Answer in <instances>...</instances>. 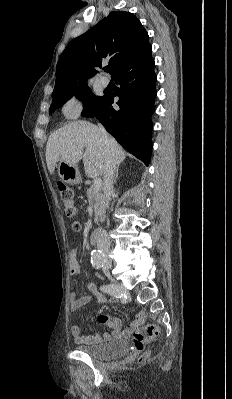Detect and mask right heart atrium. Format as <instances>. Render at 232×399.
<instances>
[{
    "label": "right heart atrium",
    "mask_w": 232,
    "mask_h": 399,
    "mask_svg": "<svg viewBox=\"0 0 232 399\" xmlns=\"http://www.w3.org/2000/svg\"><path fill=\"white\" fill-rule=\"evenodd\" d=\"M85 106L77 104L73 101L69 102L66 105H63L61 108V114L63 119L68 125H70V120H80L84 115Z\"/></svg>",
    "instance_id": "obj_1"
}]
</instances>
